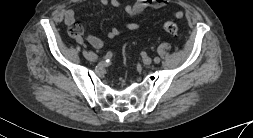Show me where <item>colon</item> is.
<instances>
[{
    "label": "colon",
    "mask_w": 253,
    "mask_h": 138,
    "mask_svg": "<svg viewBox=\"0 0 253 138\" xmlns=\"http://www.w3.org/2000/svg\"><path fill=\"white\" fill-rule=\"evenodd\" d=\"M163 29L170 35L176 36L179 34V27L175 22L166 21L163 24ZM72 36H80L82 33V26L78 23H73L69 29Z\"/></svg>",
    "instance_id": "1"
}]
</instances>
